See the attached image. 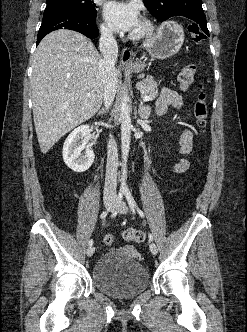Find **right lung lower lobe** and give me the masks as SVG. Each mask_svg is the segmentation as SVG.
Returning <instances> with one entry per match:
<instances>
[{
  "mask_svg": "<svg viewBox=\"0 0 247 332\" xmlns=\"http://www.w3.org/2000/svg\"><path fill=\"white\" fill-rule=\"evenodd\" d=\"M58 29L74 30L91 39L99 35L96 27V15L71 9L49 10L44 11L42 24L37 36V45L45 35Z\"/></svg>",
  "mask_w": 247,
  "mask_h": 332,
  "instance_id": "98d812e1",
  "label": "right lung lower lobe"
}]
</instances>
